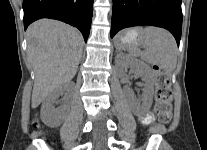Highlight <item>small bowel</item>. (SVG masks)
Here are the masks:
<instances>
[{
    "label": "small bowel",
    "mask_w": 207,
    "mask_h": 150,
    "mask_svg": "<svg viewBox=\"0 0 207 150\" xmlns=\"http://www.w3.org/2000/svg\"><path fill=\"white\" fill-rule=\"evenodd\" d=\"M144 124H149L153 120V115L151 113H146L141 117Z\"/></svg>",
    "instance_id": "small-bowel-1"
}]
</instances>
